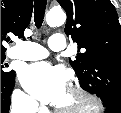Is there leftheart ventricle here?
Segmentation results:
<instances>
[{
    "label": "left heart ventricle",
    "instance_id": "left-heart-ventricle-1",
    "mask_svg": "<svg viewBox=\"0 0 121 113\" xmlns=\"http://www.w3.org/2000/svg\"><path fill=\"white\" fill-rule=\"evenodd\" d=\"M88 104L79 95L72 93L68 89L65 91L63 98L57 104V108L61 110H85Z\"/></svg>",
    "mask_w": 121,
    "mask_h": 113
}]
</instances>
